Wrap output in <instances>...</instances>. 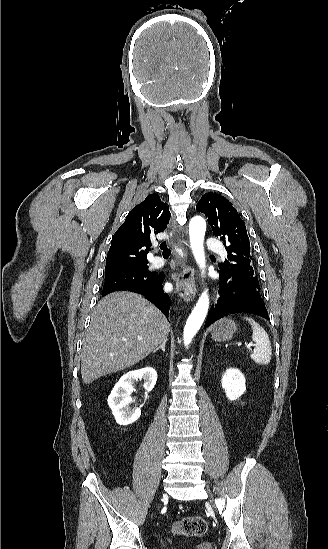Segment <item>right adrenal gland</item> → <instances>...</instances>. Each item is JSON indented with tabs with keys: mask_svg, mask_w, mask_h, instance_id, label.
Wrapping results in <instances>:
<instances>
[{
	"mask_svg": "<svg viewBox=\"0 0 328 549\" xmlns=\"http://www.w3.org/2000/svg\"><path fill=\"white\" fill-rule=\"evenodd\" d=\"M165 345H166V341H164V343H162V345H160V347H158V349H162V351H165ZM158 349H155L154 353H156V351H158Z\"/></svg>",
	"mask_w": 328,
	"mask_h": 549,
	"instance_id": "2a0ac1e0",
	"label": "right adrenal gland"
}]
</instances>
